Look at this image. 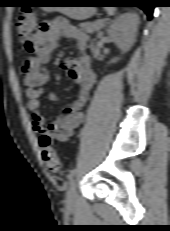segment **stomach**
Instances as JSON below:
<instances>
[{
    "mask_svg": "<svg viewBox=\"0 0 170 231\" xmlns=\"http://www.w3.org/2000/svg\"><path fill=\"white\" fill-rule=\"evenodd\" d=\"M44 3L45 4H73L75 3V1L49 0V1H44ZM42 9L48 12L58 11L74 19H86L91 16V13L88 12L87 7H76V5H73L72 7H42Z\"/></svg>",
    "mask_w": 170,
    "mask_h": 231,
    "instance_id": "0dacf381",
    "label": "stomach"
}]
</instances>
